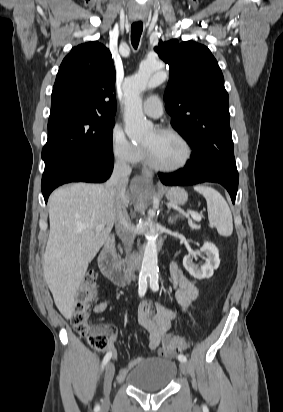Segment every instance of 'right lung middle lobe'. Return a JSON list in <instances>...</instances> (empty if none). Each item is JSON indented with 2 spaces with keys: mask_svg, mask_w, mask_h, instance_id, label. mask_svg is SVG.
<instances>
[{
  "mask_svg": "<svg viewBox=\"0 0 283 412\" xmlns=\"http://www.w3.org/2000/svg\"><path fill=\"white\" fill-rule=\"evenodd\" d=\"M113 126L114 120L107 121L92 111L70 110L50 115L42 159L45 162L62 155L113 158Z\"/></svg>",
  "mask_w": 283,
  "mask_h": 412,
  "instance_id": "1",
  "label": "right lung middle lobe"
}]
</instances>
